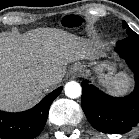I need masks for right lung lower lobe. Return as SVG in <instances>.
Here are the masks:
<instances>
[{"instance_id":"1","label":"right lung lower lobe","mask_w":139,"mask_h":139,"mask_svg":"<svg viewBox=\"0 0 139 139\" xmlns=\"http://www.w3.org/2000/svg\"><path fill=\"white\" fill-rule=\"evenodd\" d=\"M62 88V86L57 88L27 111L19 113L0 111V138L33 139L38 136L45 126L50 105Z\"/></svg>"}]
</instances>
